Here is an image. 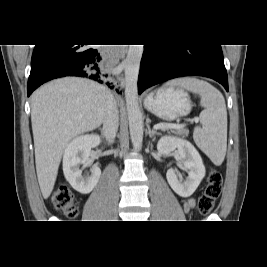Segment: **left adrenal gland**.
<instances>
[{
    "mask_svg": "<svg viewBox=\"0 0 267 267\" xmlns=\"http://www.w3.org/2000/svg\"><path fill=\"white\" fill-rule=\"evenodd\" d=\"M149 120V119H148ZM147 134L149 135V137H153V136H155V135H160V133L159 132H157L156 130H152L151 128H150V125L148 124V122H147Z\"/></svg>",
    "mask_w": 267,
    "mask_h": 267,
    "instance_id": "a2214340",
    "label": "left adrenal gland"
}]
</instances>
